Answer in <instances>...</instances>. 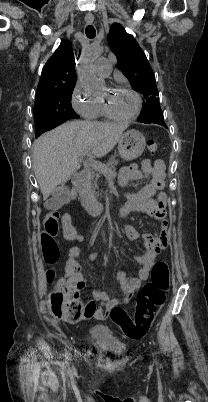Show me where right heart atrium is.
Masks as SVG:
<instances>
[{
  "mask_svg": "<svg viewBox=\"0 0 208 402\" xmlns=\"http://www.w3.org/2000/svg\"><path fill=\"white\" fill-rule=\"evenodd\" d=\"M72 106L88 120H94L97 116L99 99L89 92L79 81L75 83L71 91Z\"/></svg>",
  "mask_w": 208,
  "mask_h": 402,
  "instance_id": "obj_1",
  "label": "right heart atrium"
}]
</instances>
